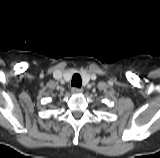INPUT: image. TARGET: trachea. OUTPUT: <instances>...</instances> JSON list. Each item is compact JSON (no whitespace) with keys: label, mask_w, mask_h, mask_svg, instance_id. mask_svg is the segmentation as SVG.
<instances>
[{"label":"trachea","mask_w":160,"mask_h":158,"mask_svg":"<svg viewBox=\"0 0 160 158\" xmlns=\"http://www.w3.org/2000/svg\"><path fill=\"white\" fill-rule=\"evenodd\" d=\"M71 85L73 87H79V88L81 87L82 80H81V76L78 73L73 75Z\"/></svg>","instance_id":"trachea-1"}]
</instances>
